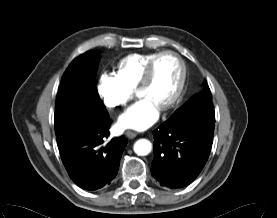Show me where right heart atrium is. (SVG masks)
I'll use <instances>...</instances> for the list:
<instances>
[{"mask_svg":"<svg viewBox=\"0 0 277 218\" xmlns=\"http://www.w3.org/2000/svg\"><path fill=\"white\" fill-rule=\"evenodd\" d=\"M98 93L108 108L124 106L132 98L134 89L115 72L103 71L98 81Z\"/></svg>","mask_w":277,"mask_h":218,"instance_id":"d8ad5b80","label":"right heart atrium"}]
</instances>
